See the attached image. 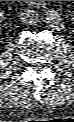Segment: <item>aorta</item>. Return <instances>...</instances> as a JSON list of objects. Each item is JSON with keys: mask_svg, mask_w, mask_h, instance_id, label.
<instances>
[{"mask_svg": "<svg viewBox=\"0 0 74 122\" xmlns=\"http://www.w3.org/2000/svg\"><path fill=\"white\" fill-rule=\"evenodd\" d=\"M54 12H49L46 16V20H47V23H49L50 25H54L57 23V18L53 17Z\"/></svg>", "mask_w": 74, "mask_h": 122, "instance_id": "aorta-1", "label": "aorta"}]
</instances>
